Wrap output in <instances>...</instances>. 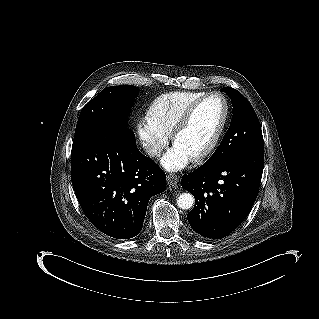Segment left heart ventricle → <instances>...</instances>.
<instances>
[{"instance_id":"b2bd125f","label":"left heart ventricle","mask_w":319,"mask_h":319,"mask_svg":"<svg viewBox=\"0 0 319 319\" xmlns=\"http://www.w3.org/2000/svg\"><path fill=\"white\" fill-rule=\"evenodd\" d=\"M222 114L223 103L219 98H211L202 102L179 132L177 144L191 153L201 150L213 137Z\"/></svg>"}]
</instances>
